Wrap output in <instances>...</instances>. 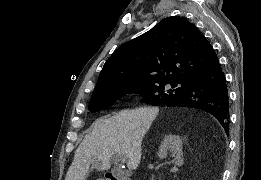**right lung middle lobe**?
<instances>
[{"label":"right lung middle lobe","mask_w":261,"mask_h":180,"mask_svg":"<svg viewBox=\"0 0 261 180\" xmlns=\"http://www.w3.org/2000/svg\"><path fill=\"white\" fill-rule=\"evenodd\" d=\"M177 84H181V87L174 89ZM184 86L185 81L177 80H163L134 86L91 99L89 103V110L91 112L100 111L105 107L112 105L117 101V99L128 93L142 94L145 98L142 102L149 101L152 105H161L165 101L178 96L183 91Z\"/></svg>","instance_id":"obj_1"}]
</instances>
